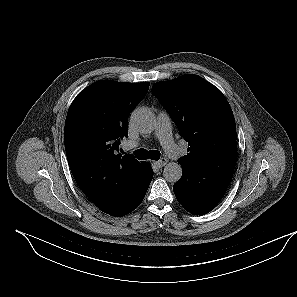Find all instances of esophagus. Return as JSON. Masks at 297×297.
Returning a JSON list of instances; mask_svg holds the SVG:
<instances>
[{
  "label": "esophagus",
  "instance_id": "34e87169",
  "mask_svg": "<svg viewBox=\"0 0 297 297\" xmlns=\"http://www.w3.org/2000/svg\"><path fill=\"white\" fill-rule=\"evenodd\" d=\"M168 163V160L166 158H161L160 160L156 161L155 164L161 168L165 166Z\"/></svg>",
  "mask_w": 297,
  "mask_h": 297
}]
</instances>
